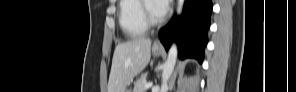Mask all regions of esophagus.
I'll list each match as a JSON object with an SVG mask.
<instances>
[{
  "label": "esophagus",
  "mask_w": 296,
  "mask_h": 92,
  "mask_svg": "<svg viewBox=\"0 0 296 92\" xmlns=\"http://www.w3.org/2000/svg\"><path fill=\"white\" fill-rule=\"evenodd\" d=\"M154 46H155V47H161V43H160V41H159V40L155 41V42H154Z\"/></svg>",
  "instance_id": "obj_1"
}]
</instances>
